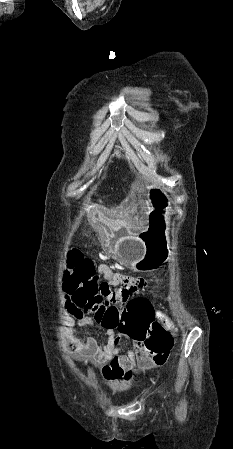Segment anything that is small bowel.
Masks as SVG:
<instances>
[{
	"label": "small bowel",
	"instance_id": "c3829d8e",
	"mask_svg": "<svg viewBox=\"0 0 233 449\" xmlns=\"http://www.w3.org/2000/svg\"><path fill=\"white\" fill-rule=\"evenodd\" d=\"M97 273L103 279L98 288L102 292L99 304L107 308L115 301V296H118L116 301H120L118 304L123 306L125 304L123 301H131V296H136L137 291L146 285V280L140 274H120L117 270H111L106 264H99ZM64 305L76 318L77 324L89 334L88 328L95 324L92 315L75 307L66 292ZM154 320L158 321L162 329L168 333L174 329L171 319L161 311H155ZM72 327L73 323H69L67 334L70 351L84 359H91L100 367L104 379L119 387L128 386L134 372H144L163 366L169 356V354H154L150 349H135V343H131L132 347L121 354L119 345L123 334H119L116 328H105L107 341L101 344L91 335L84 340L73 335Z\"/></svg>",
	"mask_w": 233,
	"mask_h": 449
}]
</instances>
